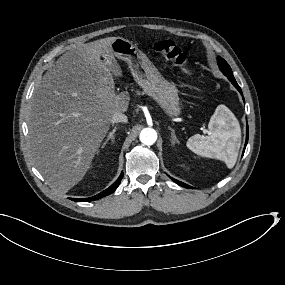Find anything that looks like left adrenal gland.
Masks as SVG:
<instances>
[{"instance_id":"obj_1","label":"left adrenal gland","mask_w":285,"mask_h":285,"mask_svg":"<svg viewBox=\"0 0 285 285\" xmlns=\"http://www.w3.org/2000/svg\"><path fill=\"white\" fill-rule=\"evenodd\" d=\"M169 130L171 131V136H172L173 144H174V145L179 144V142H178L177 139H176V134H175L174 130H173L171 127H169Z\"/></svg>"}]
</instances>
